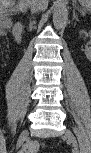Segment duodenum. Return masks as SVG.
Here are the masks:
<instances>
[{
    "label": "duodenum",
    "instance_id": "410a0bca",
    "mask_svg": "<svg viewBox=\"0 0 91 153\" xmlns=\"http://www.w3.org/2000/svg\"><path fill=\"white\" fill-rule=\"evenodd\" d=\"M13 36L18 43L23 39V25L21 22H17L12 29Z\"/></svg>",
    "mask_w": 91,
    "mask_h": 153
}]
</instances>
